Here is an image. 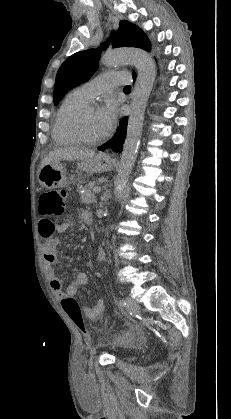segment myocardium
Masks as SVG:
<instances>
[{
	"label": "myocardium",
	"mask_w": 231,
	"mask_h": 419,
	"mask_svg": "<svg viewBox=\"0 0 231 419\" xmlns=\"http://www.w3.org/2000/svg\"><path fill=\"white\" fill-rule=\"evenodd\" d=\"M93 106L90 104H87L77 111H75L67 122V127L70 133L77 138L80 142L86 143V144H97L105 140L108 136V133H105L102 136L99 137H90L88 136L82 127V121L87 112L92 108Z\"/></svg>",
	"instance_id": "1"
}]
</instances>
